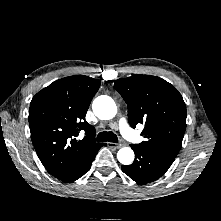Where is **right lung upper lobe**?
I'll return each mask as SVG.
<instances>
[{
    "label": "right lung upper lobe",
    "instance_id": "1",
    "mask_svg": "<svg viewBox=\"0 0 221 221\" xmlns=\"http://www.w3.org/2000/svg\"><path fill=\"white\" fill-rule=\"evenodd\" d=\"M100 80L84 75L62 78L37 93L30 104L29 127L36 153L58 178L82 165L101 146L85 115ZM80 133L83 139L78 140Z\"/></svg>",
    "mask_w": 221,
    "mask_h": 221
}]
</instances>
